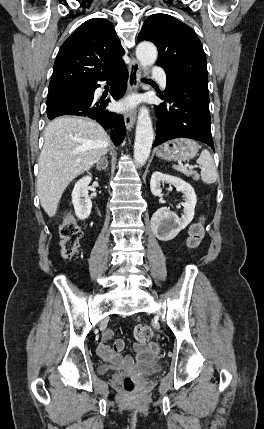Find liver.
<instances>
[{"label":"liver","mask_w":264,"mask_h":429,"mask_svg":"<svg viewBox=\"0 0 264 429\" xmlns=\"http://www.w3.org/2000/svg\"><path fill=\"white\" fill-rule=\"evenodd\" d=\"M44 139L36 189L42 208L53 217L67 186L106 154L110 139L97 122L69 116L49 122Z\"/></svg>","instance_id":"liver-1"}]
</instances>
